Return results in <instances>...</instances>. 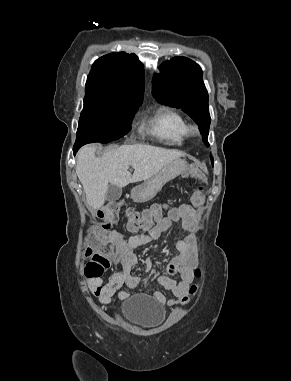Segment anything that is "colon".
<instances>
[{
    "label": "colon",
    "mask_w": 291,
    "mask_h": 381,
    "mask_svg": "<svg viewBox=\"0 0 291 381\" xmlns=\"http://www.w3.org/2000/svg\"><path fill=\"white\" fill-rule=\"evenodd\" d=\"M206 186L199 184L192 193V201L195 205H200L204 201ZM164 207L162 205H154L151 208L137 213L129 211L127 214V228L129 231L136 232L139 230H150L153 226L163 219ZM120 205L117 202L106 204L99 211L101 220L100 226L97 228V238L93 247L89 251L85 272L88 277H100L109 266L110 251L106 246V240L111 235L112 224L119 219ZM195 275L200 276V271L196 270ZM197 290L196 286H192L190 294H194Z\"/></svg>",
    "instance_id": "colon-1"
}]
</instances>
